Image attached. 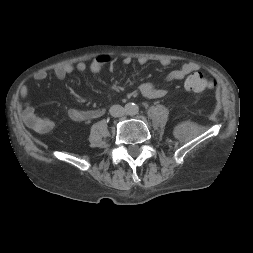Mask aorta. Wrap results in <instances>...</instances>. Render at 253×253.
I'll return each mask as SVG.
<instances>
[{
    "label": "aorta",
    "instance_id": "obj_1",
    "mask_svg": "<svg viewBox=\"0 0 253 253\" xmlns=\"http://www.w3.org/2000/svg\"><path fill=\"white\" fill-rule=\"evenodd\" d=\"M125 111L128 115H136L139 112V107L133 103H127L125 105Z\"/></svg>",
    "mask_w": 253,
    "mask_h": 253
}]
</instances>
